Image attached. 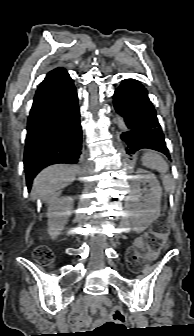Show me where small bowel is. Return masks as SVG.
I'll return each mask as SVG.
<instances>
[{
  "instance_id": "1",
  "label": "small bowel",
  "mask_w": 194,
  "mask_h": 336,
  "mask_svg": "<svg viewBox=\"0 0 194 336\" xmlns=\"http://www.w3.org/2000/svg\"><path fill=\"white\" fill-rule=\"evenodd\" d=\"M73 322L76 325H82L85 322V318H83V317H75V318H73Z\"/></svg>"
}]
</instances>
